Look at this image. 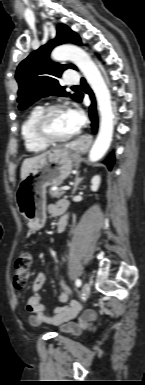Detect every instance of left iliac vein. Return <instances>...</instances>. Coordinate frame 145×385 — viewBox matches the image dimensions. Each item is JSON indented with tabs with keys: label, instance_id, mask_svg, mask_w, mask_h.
I'll return each instance as SVG.
<instances>
[{
	"label": "left iliac vein",
	"instance_id": "left-iliac-vein-1",
	"mask_svg": "<svg viewBox=\"0 0 145 385\" xmlns=\"http://www.w3.org/2000/svg\"><path fill=\"white\" fill-rule=\"evenodd\" d=\"M90 284L88 282L84 283L81 290V298L84 300L88 297L90 293Z\"/></svg>",
	"mask_w": 145,
	"mask_h": 385
}]
</instances>
